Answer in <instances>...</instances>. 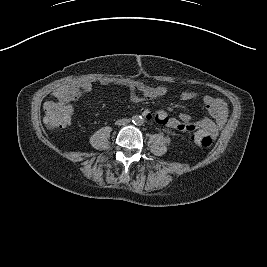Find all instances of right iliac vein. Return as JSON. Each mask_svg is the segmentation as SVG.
<instances>
[{"mask_svg": "<svg viewBox=\"0 0 267 267\" xmlns=\"http://www.w3.org/2000/svg\"><path fill=\"white\" fill-rule=\"evenodd\" d=\"M118 125H121V121L118 122Z\"/></svg>", "mask_w": 267, "mask_h": 267, "instance_id": "right-iliac-vein-1", "label": "right iliac vein"}]
</instances>
